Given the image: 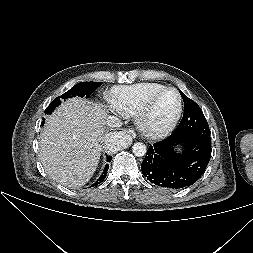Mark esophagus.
<instances>
[{
    "mask_svg": "<svg viewBox=\"0 0 253 253\" xmlns=\"http://www.w3.org/2000/svg\"><path fill=\"white\" fill-rule=\"evenodd\" d=\"M116 134H120V135H127V136H129V137H133V132L132 131H130V130H127V129H118L117 131H116Z\"/></svg>",
    "mask_w": 253,
    "mask_h": 253,
    "instance_id": "1",
    "label": "esophagus"
}]
</instances>
